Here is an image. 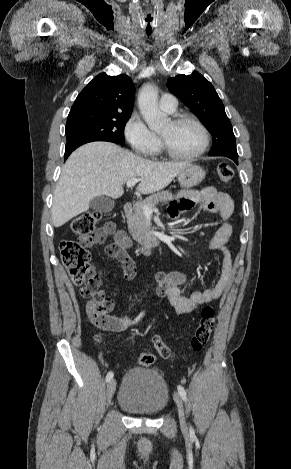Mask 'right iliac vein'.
<instances>
[{
	"label": "right iliac vein",
	"mask_w": 291,
	"mask_h": 469,
	"mask_svg": "<svg viewBox=\"0 0 291 469\" xmlns=\"http://www.w3.org/2000/svg\"><path fill=\"white\" fill-rule=\"evenodd\" d=\"M116 389V381L112 379L109 381L106 389V405L108 406L113 398Z\"/></svg>",
	"instance_id": "1"
}]
</instances>
